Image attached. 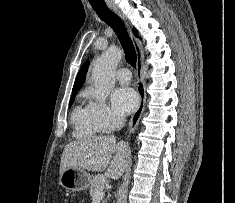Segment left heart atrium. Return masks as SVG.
I'll use <instances>...</instances> for the list:
<instances>
[{"label": "left heart atrium", "mask_w": 235, "mask_h": 203, "mask_svg": "<svg viewBox=\"0 0 235 203\" xmlns=\"http://www.w3.org/2000/svg\"><path fill=\"white\" fill-rule=\"evenodd\" d=\"M111 102L114 110L119 115H127L137 107L138 96L134 89L122 86L112 93Z\"/></svg>", "instance_id": "left-heart-atrium-1"}]
</instances>
